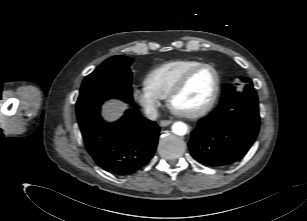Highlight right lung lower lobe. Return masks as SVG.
I'll use <instances>...</instances> for the list:
<instances>
[{
	"label": "right lung lower lobe",
	"instance_id": "98d812e1",
	"mask_svg": "<svg viewBox=\"0 0 307 221\" xmlns=\"http://www.w3.org/2000/svg\"><path fill=\"white\" fill-rule=\"evenodd\" d=\"M78 121L88 153L101 168L115 175L136 172L156 150L160 128L137 109H128L121 119L108 124L98 106Z\"/></svg>",
	"mask_w": 307,
	"mask_h": 221
}]
</instances>
